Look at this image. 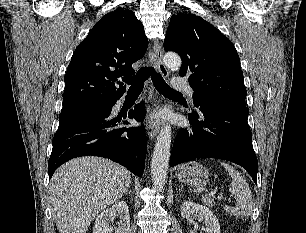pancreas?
<instances>
[{
    "instance_id": "1",
    "label": "pancreas",
    "mask_w": 306,
    "mask_h": 233,
    "mask_svg": "<svg viewBox=\"0 0 306 233\" xmlns=\"http://www.w3.org/2000/svg\"><path fill=\"white\" fill-rule=\"evenodd\" d=\"M202 202L207 205V206H214L215 205V202L212 198H202Z\"/></svg>"
}]
</instances>
